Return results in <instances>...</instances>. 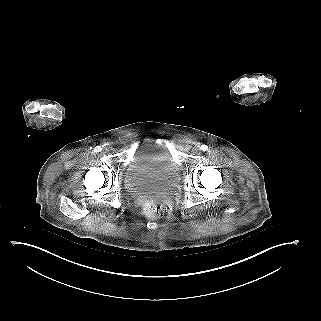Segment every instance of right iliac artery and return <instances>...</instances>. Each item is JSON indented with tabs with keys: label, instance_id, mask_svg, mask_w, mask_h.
<instances>
[{
	"label": "right iliac artery",
	"instance_id": "obj_1",
	"mask_svg": "<svg viewBox=\"0 0 321 321\" xmlns=\"http://www.w3.org/2000/svg\"><path fill=\"white\" fill-rule=\"evenodd\" d=\"M94 150H95V152H100L102 150V148L100 146H97V147H95Z\"/></svg>",
	"mask_w": 321,
	"mask_h": 321
}]
</instances>
